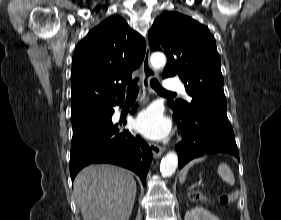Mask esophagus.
<instances>
[{"instance_id":"34e87169","label":"esophagus","mask_w":281,"mask_h":220,"mask_svg":"<svg viewBox=\"0 0 281 220\" xmlns=\"http://www.w3.org/2000/svg\"><path fill=\"white\" fill-rule=\"evenodd\" d=\"M156 76V71L150 65V48L147 45L144 60L142 63V83L144 88L149 89L150 80ZM150 148L155 158L160 157L165 148L157 144L150 143Z\"/></svg>"}]
</instances>
